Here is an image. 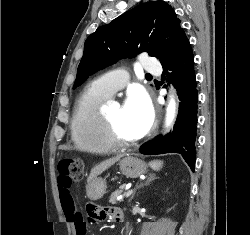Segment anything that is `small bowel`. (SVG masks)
<instances>
[{"label":"small bowel","mask_w":250,"mask_h":235,"mask_svg":"<svg viewBox=\"0 0 250 235\" xmlns=\"http://www.w3.org/2000/svg\"><path fill=\"white\" fill-rule=\"evenodd\" d=\"M59 197L62 210L67 221L74 224L75 229L77 222L82 223L86 229L87 227L86 222L76 213L74 200L70 192V188L65 189L59 186ZM88 212L92 220L91 222L104 221L109 218L115 220L116 222L122 221L121 212L114 207L96 208L94 206H90L88 208Z\"/></svg>","instance_id":"small-bowel-1"}]
</instances>
